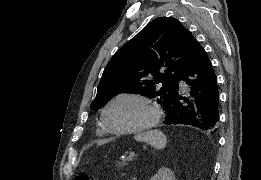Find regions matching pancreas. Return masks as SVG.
<instances>
[{
  "instance_id": "1",
  "label": "pancreas",
  "mask_w": 261,
  "mask_h": 180,
  "mask_svg": "<svg viewBox=\"0 0 261 180\" xmlns=\"http://www.w3.org/2000/svg\"><path fill=\"white\" fill-rule=\"evenodd\" d=\"M115 165L117 170H124L125 169L124 159H117Z\"/></svg>"
}]
</instances>
